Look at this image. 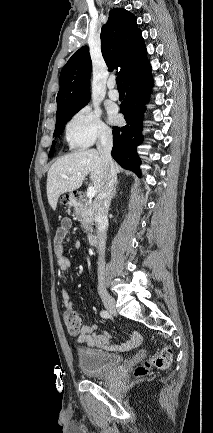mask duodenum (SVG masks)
<instances>
[{
	"instance_id": "410a0bca",
	"label": "duodenum",
	"mask_w": 213,
	"mask_h": 433,
	"mask_svg": "<svg viewBox=\"0 0 213 433\" xmlns=\"http://www.w3.org/2000/svg\"><path fill=\"white\" fill-rule=\"evenodd\" d=\"M81 195L78 197V199H81ZM88 239H89V243H90V245L91 246H98V244H99V239H98V237H97V235L96 234H90L89 235V237H88Z\"/></svg>"
}]
</instances>
